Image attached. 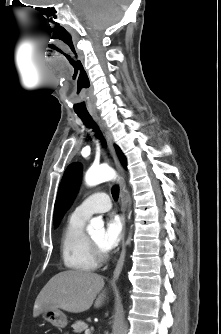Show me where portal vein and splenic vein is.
Returning <instances> with one entry per match:
<instances>
[{
	"label": "portal vein and splenic vein",
	"instance_id": "portal-vein-and-splenic-vein-1",
	"mask_svg": "<svg viewBox=\"0 0 221 334\" xmlns=\"http://www.w3.org/2000/svg\"><path fill=\"white\" fill-rule=\"evenodd\" d=\"M91 330H93V328H91ZM91 330L90 329L85 330V334H90Z\"/></svg>",
	"mask_w": 221,
	"mask_h": 334
}]
</instances>
